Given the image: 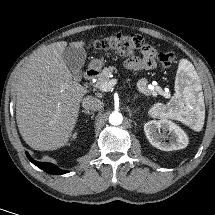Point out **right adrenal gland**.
<instances>
[{
  "mask_svg": "<svg viewBox=\"0 0 215 215\" xmlns=\"http://www.w3.org/2000/svg\"><path fill=\"white\" fill-rule=\"evenodd\" d=\"M81 112H82V113H85V114H88V115H93V113H92V112L87 111V110H82Z\"/></svg>",
  "mask_w": 215,
  "mask_h": 215,
  "instance_id": "1",
  "label": "right adrenal gland"
}]
</instances>
